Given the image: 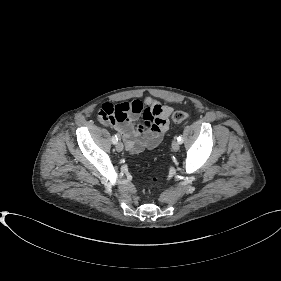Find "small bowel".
Returning <instances> with one entry per match:
<instances>
[{"instance_id":"c3829d8e","label":"small bowel","mask_w":281,"mask_h":281,"mask_svg":"<svg viewBox=\"0 0 281 281\" xmlns=\"http://www.w3.org/2000/svg\"><path fill=\"white\" fill-rule=\"evenodd\" d=\"M138 102L140 108L134 111L133 104ZM130 104V112L122 122H109L122 137L127 150L132 154H138L145 148L156 147L163 139L169 129V117L172 108L153 99L146 98L143 103L134 101ZM142 116V121L136 125L138 118Z\"/></svg>"}]
</instances>
